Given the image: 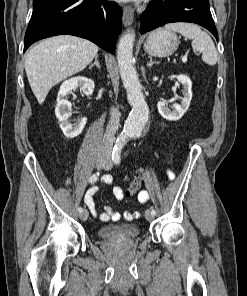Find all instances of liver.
I'll use <instances>...</instances> for the list:
<instances>
[{
	"label": "liver",
	"instance_id": "obj_1",
	"mask_svg": "<svg viewBox=\"0 0 247 296\" xmlns=\"http://www.w3.org/2000/svg\"><path fill=\"white\" fill-rule=\"evenodd\" d=\"M98 46L87 39L59 35L32 47L25 58V71L39 104L50 89L82 71L97 55Z\"/></svg>",
	"mask_w": 247,
	"mask_h": 296
}]
</instances>
